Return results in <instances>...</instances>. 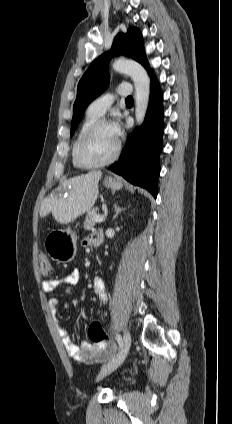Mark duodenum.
<instances>
[{
    "label": "duodenum",
    "mask_w": 232,
    "mask_h": 424,
    "mask_svg": "<svg viewBox=\"0 0 232 424\" xmlns=\"http://www.w3.org/2000/svg\"><path fill=\"white\" fill-rule=\"evenodd\" d=\"M103 241V233L100 231V234L98 235L96 242H95V246H100L102 244Z\"/></svg>",
    "instance_id": "410a0bca"
}]
</instances>
